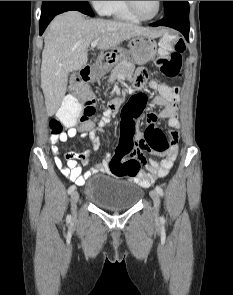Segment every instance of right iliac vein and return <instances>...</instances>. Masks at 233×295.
I'll return each mask as SVG.
<instances>
[{
	"label": "right iliac vein",
	"instance_id": "right-iliac-vein-1",
	"mask_svg": "<svg viewBox=\"0 0 233 295\" xmlns=\"http://www.w3.org/2000/svg\"><path fill=\"white\" fill-rule=\"evenodd\" d=\"M79 200V193L77 191L72 192L71 194V209L72 212H76L77 202Z\"/></svg>",
	"mask_w": 233,
	"mask_h": 295
}]
</instances>
